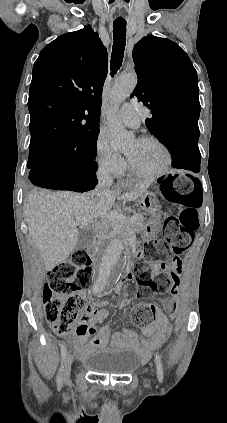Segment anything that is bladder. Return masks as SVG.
Segmentation results:
<instances>
[{"mask_svg": "<svg viewBox=\"0 0 227 423\" xmlns=\"http://www.w3.org/2000/svg\"><path fill=\"white\" fill-rule=\"evenodd\" d=\"M83 362L92 373L126 376L136 369L138 357L133 350L106 349L85 358Z\"/></svg>", "mask_w": 227, "mask_h": 423, "instance_id": "obj_1", "label": "bladder"}]
</instances>
